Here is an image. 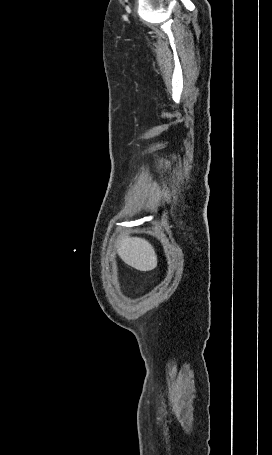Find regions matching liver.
<instances>
[{
  "mask_svg": "<svg viewBox=\"0 0 272 455\" xmlns=\"http://www.w3.org/2000/svg\"><path fill=\"white\" fill-rule=\"evenodd\" d=\"M116 245L118 255L129 266L143 272L157 267V255L147 240L121 236Z\"/></svg>",
  "mask_w": 272,
  "mask_h": 455,
  "instance_id": "liver-1",
  "label": "liver"
}]
</instances>
